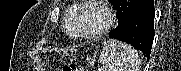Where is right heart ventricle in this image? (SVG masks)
Here are the masks:
<instances>
[{
    "label": "right heart ventricle",
    "mask_w": 181,
    "mask_h": 71,
    "mask_svg": "<svg viewBox=\"0 0 181 71\" xmlns=\"http://www.w3.org/2000/svg\"><path fill=\"white\" fill-rule=\"evenodd\" d=\"M77 8V5H74L72 7L69 8L68 14L65 18V23H64V28H65V32L70 36L73 37L70 31V22L72 20L73 14L75 13Z\"/></svg>",
    "instance_id": "right-heart-ventricle-1"
}]
</instances>
